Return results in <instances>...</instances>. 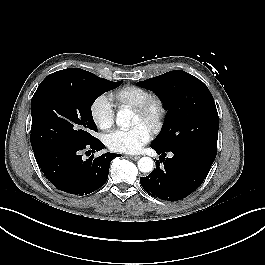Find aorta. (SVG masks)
<instances>
[{
  "label": "aorta",
  "instance_id": "obj_1",
  "mask_svg": "<svg viewBox=\"0 0 265 265\" xmlns=\"http://www.w3.org/2000/svg\"><path fill=\"white\" fill-rule=\"evenodd\" d=\"M133 117L132 111L129 109H121L117 112L116 124L122 129L131 126V119ZM154 168V162L150 157H142L138 161V169L143 173L151 172Z\"/></svg>",
  "mask_w": 265,
  "mask_h": 265
}]
</instances>
